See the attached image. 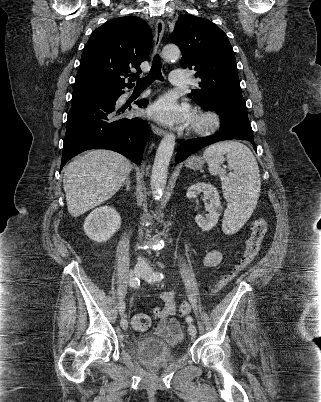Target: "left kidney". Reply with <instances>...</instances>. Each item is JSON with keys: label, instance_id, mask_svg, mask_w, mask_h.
Here are the masks:
<instances>
[{"label": "left kidney", "instance_id": "obj_1", "mask_svg": "<svg viewBox=\"0 0 321 402\" xmlns=\"http://www.w3.org/2000/svg\"><path fill=\"white\" fill-rule=\"evenodd\" d=\"M201 192H203L205 199L209 200V204L206 208L209 214L206 217L197 215L195 221L202 230L208 231L217 224L223 209L220 203L218 190L209 183L198 182L191 185L186 196L189 199H193Z\"/></svg>", "mask_w": 321, "mask_h": 402}]
</instances>
